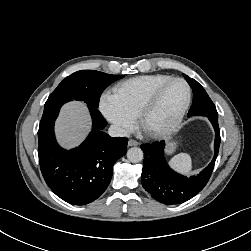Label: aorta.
Masks as SVG:
<instances>
[{
	"label": "aorta",
	"instance_id": "aorta-1",
	"mask_svg": "<svg viewBox=\"0 0 251 251\" xmlns=\"http://www.w3.org/2000/svg\"><path fill=\"white\" fill-rule=\"evenodd\" d=\"M143 151L141 148L132 147L127 151V158L132 163H139L143 160Z\"/></svg>",
	"mask_w": 251,
	"mask_h": 251
}]
</instances>
